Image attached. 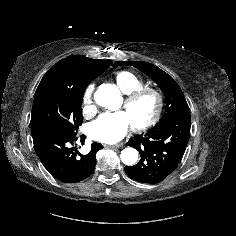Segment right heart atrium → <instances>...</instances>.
I'll return each instance as SVG.
<instances>
[{"mask_svg":"<svg viewBox=\"0 0 236 236\" xmlns=\"http://www.w3.org/2000/svg\"><path fill=\"white\" fill-rule=\"evenodd\" d=\"M93 85H90L84 93L83 96V111L86 115H90L95 111V106L92 101V94H93Z\"/></svg>","mask_w":236,"mask_h":236,"instance_id":"right-heart-atrium-1","label":"right heart atrium"}]
</instances>
